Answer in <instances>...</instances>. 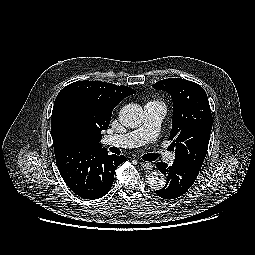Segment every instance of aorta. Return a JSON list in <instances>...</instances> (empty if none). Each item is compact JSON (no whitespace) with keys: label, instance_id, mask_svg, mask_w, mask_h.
Instances as JSON below:
<instances>
[{"label":"aorta","instance_id":"obj_1","mask_svg":"<svg viewBox=\"0 0 255 255\" xmlns=\"http://www.w3.org/2000/svg\"><path fill=\"white\" fill-rule=\"evenodd\" d=\"M143 118V109L139 104H127L119 112V121L127 128L140 126ZM147 183L151 189L160 190L165 186L166 178L160 171H153L148 175Z\"/></svg>","mask_w":255,"mask_h":255}]
</instances>
